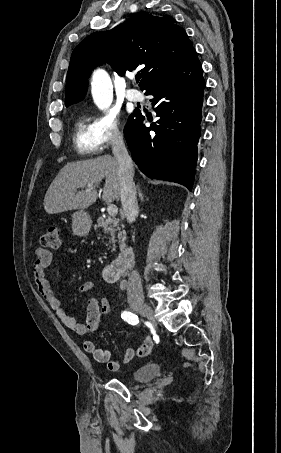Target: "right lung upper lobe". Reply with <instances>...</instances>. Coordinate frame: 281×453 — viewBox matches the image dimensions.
<instances>
[{
    "instance_id": "1",
    "label": "right lung upper lobe",
    "mask_w": 281,
    "mask_h": 453,
    "mask_svg": "<svg viewBox=\"0 0 281 453\" xmlns=\"http://www.w3.org/2000/svg\"><path fill=\"white\" fill-rule=\"evenodd\" d=\"M193 52L186 32L172 17L139 12L110 31L93 33L74 49L65 105L84 98L91 70L102 63H109L119 75L140 68L139 86L145 90Z\"/></svg>"
}]
</instances>
